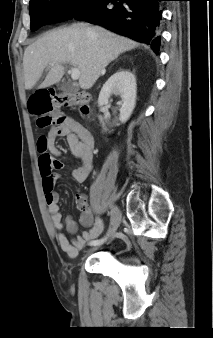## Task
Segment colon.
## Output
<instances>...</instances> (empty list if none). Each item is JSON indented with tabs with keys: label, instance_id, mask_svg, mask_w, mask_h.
<instances>
[{
	"label": "colon",
	"instance_id": "obj_1",
	"mask_svg": "<svg viewBox=\"0 0 213 338\" xmlns=\"http://www.w3.org/2000/svg\"><path fill=\"white\" fill-rule=\"evenodd\" d=\"M90 97L84 93H56L52 90L35 91L27 102L28 110L36 117L39 127L60 126L65 117L59 111L71 107L80 113L89 112ZM47 185V189H50Z\"/></svg>",
	"mask_w": 213,
	"mask_h": 338
}]
</instances>
